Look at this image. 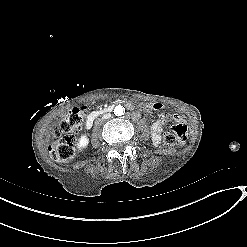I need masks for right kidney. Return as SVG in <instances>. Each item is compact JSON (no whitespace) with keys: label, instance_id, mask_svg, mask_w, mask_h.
<instances>
[{"label":"right kidney","instance_id":"right-kidney-1","mask_svg":"<svg viewBox=\"0 0 247 247\" xmlns=\"http://www.w3.org/2000/svg\"><path fill=\"white\" fill-rule=\"evenodd\" d=\"M88 144H89V138L83 135L79 139L78 148L81 150L83 148H86Z\"/></svg>","mask_w":247,"mask_h":247}]
</instances>
